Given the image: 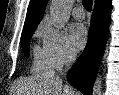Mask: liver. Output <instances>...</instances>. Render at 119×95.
Wrapping results in <instances>:
<instances>
[{"label": "liver", "instance_id": "6515ba94", "mask_svg": "<svg viewBox=\"0 0 119 95\" xmlns=\"http://www.w3.org/2000/svg\"><path fill=\"white\" fill-rule=\"evenodd\" d=\"M19 88L22 93H29L27 95L30 93L34 95H79L68 85H63L60 78L50 75H38L25 79L19 83Z\"/></svg>", "mask_w": 119, "mask_h": 95}]
</instances>
